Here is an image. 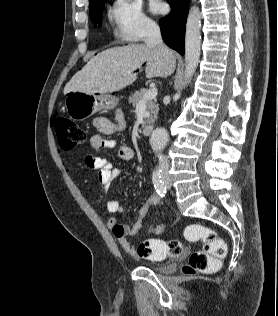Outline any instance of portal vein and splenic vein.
Wrapping results in <instances>:
<instances>
[{
  "mask_svg": "<svg viewBox=\"0 0 278 316\" xmlns=\"http://www.w3.org/2000/svg\"><path fill=\"white\" fill-rule=\"evenodd\" d=\"M132 71H127L128 74H130ZM106 79H111L110 76H106ZM158 90L156 87H151L150 89H148L143 97V99L139 102H146L147 100H151L154 99L157 96Z\"/></svg>",
  "mask_w": 278,
  "mask_h": 316,
  "instance_id": "18ae733b",
  "label": "portal vein and splenic vein"
}]
</instances>
